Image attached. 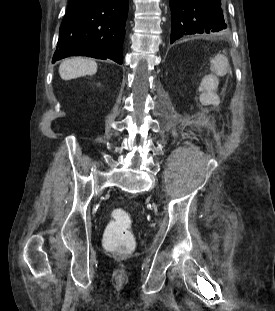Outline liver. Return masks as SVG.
<instances>
[{"label":"liver","mask_w":275,"mask_h":311,"mask_svg":"<svg viewBox=\"0 0 275 311\" xmlns=\"http://www.w3.org/2000/svg\"><path fill=\"white\" fill-rule=\"evenodd\" d=\"M97 71V63L91 59L75 57L60 64L59 74L63 80L92 75Z\"/></svg>","instance_id":"liver-1"}]
</instances>
